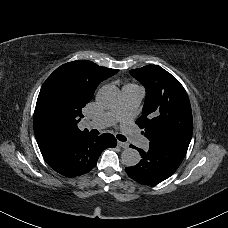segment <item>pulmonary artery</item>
<instances>
[{
	"label": "pulmonary artery",
	"instance_id": "obj_1",
	"mask_svg": "<svg viewBox=\"0 0 228 228\" xmlns=\"http://www.w3.org/2000/svg\"><path fill=\"white\" fill-rule=\"evenodd\" d=\"M142 95V89L139 86H134L129 89L125 101H124V109L125 113L123 115L122 124L120 126V132L124 135V137L132 142V144L143 147L146 144L145 137L139 135L133 127V121L135 119V114L137 112L136 101ZM122 105V104H121ZM118 120L117 112L107 113L103 116L102 122L104 126H110L114 124Z\"/></svg>",
	"mask_w": 228,
	"mask_h": 228
}]
</instances>
